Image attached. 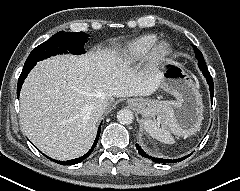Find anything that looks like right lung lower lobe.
<instances>
[{"label": "right lung lower lobe", "instance_id": "1", "mask_svg": "<svg viewBox=\"0 0 240 191\" xmlns=\"http://www.w3.org/2000/svg\"><path fill=\"white\" fill-rule=\"evenodd\" d=\"M35 66V64H31V65H28V66H24L23 67V70H22V73L19 77V80H18V84H17V97L19 98V94H20V90H21V87H22V84L25 80V78L27 77L28 73L31 71V69ZM100 128H101V125L99 126L98 128V133H97V136H96V139L92 145V148L85 154L83 155L82 157H79V158H76V159H73V160H69V161H57L58 163L62 164V165H74V164H77L81 161H83L84 159H86L90 154L91 152L93 151V149L96 147L97 145V142H98V139H99V136H100ZM56 162V161H55Z\"/></svg>", "mask_w": 240, "mask_h": 191}]
</instances>
